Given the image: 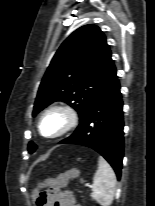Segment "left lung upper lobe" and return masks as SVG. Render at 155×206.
Wrapping results in <instances>:
<instances>
[{
	"label": "left lung upper lobe",
	"instance_id": "obj_1",
	"mask_svg": "<svg viewBox=\"0 0 155 206\" xmlns=\"http://www.w3.org/2000/svg\"><path fill=\"white\" fill-rule=\"evenodd\" d=\"M116 74L105 35L95 25L74 31L54 55L38 90L33 116L54 101H64L81 117ZM36 146L28 145L29 153Z\"/></svg>",
	"mask_w": 155,
	"mask_h": 206
}]
</instances>
